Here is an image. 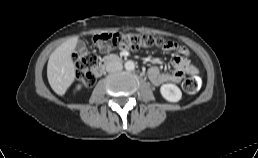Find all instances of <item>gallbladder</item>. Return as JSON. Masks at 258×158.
<instances>
[{"mask_svg": "<svg viewBox=\"0 0 258 158\" xmlns=\"http://www.w3.org/2000/svg\"><path fill=\"white\" fill-rule=\"evenodd\" d=\"M76 51L81 53L83 51L86 50V44L85 42H83L82 40L78 41L77 45H76Z\"/></svg>", "mask_w": 258, "mask_h": 158, "instance_id": "bac80fb5", "label": "gallbladder"}]
</instances>
